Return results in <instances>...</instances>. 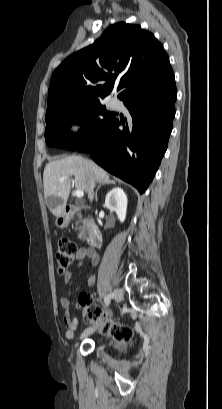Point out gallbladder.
<instances>
[{"label":"gallbladder","mask_w":222,"mask_h":409,"mask_svg":"<svg viewBox=\"0 0 222 409\" xmlns=\"http://www.w3.org/2000/svg\"><path fill=\"white\" fill-rule=\"evenodd\" d=\"M47 202H48V205L50 206V205L52 204V197H49V198L47 199Z\"/></svg>","instance_id":"obj_1"}]
</instances>
